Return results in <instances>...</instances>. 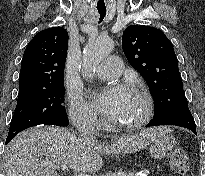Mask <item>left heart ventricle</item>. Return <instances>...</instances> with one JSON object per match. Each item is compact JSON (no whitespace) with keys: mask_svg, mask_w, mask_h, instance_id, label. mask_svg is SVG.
<instances>
[{"mask_svg":"<svg viewBox=\"0 0 205 176\" xmlns=\"http://www.w3.org/2000/svg\"><path fill=\"white\" fill-rule=\"evenodd\" d=\"M143 113L144 104L142 100L136 94H133L130 101L116 120L118 123H133L139 120L142 117Z\"/></svg>","mask_w":205,"mask_h":176,"instance_id":"b2bd125f","label":"left heart ventricle"}]
</instances>
